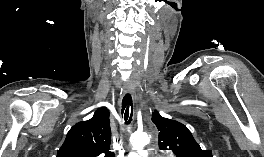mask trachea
Wrapping results in <instances>:
<instances>
[{"label": "trachea", "instance_id": "obj_1", "mask_svg": "<svg viewBox=\"0 0 264 157\" xmlns=\"http://www.w3.org/2000/svg\"><path fill=\"white\" fill-rule=\"evenodd\" d=\"M124 114L125 124H130L133 116V104L130 94H126L122 101V115Z\"/></svg>", "mask_w": 264, "mask_h": 157}]
</instances>
